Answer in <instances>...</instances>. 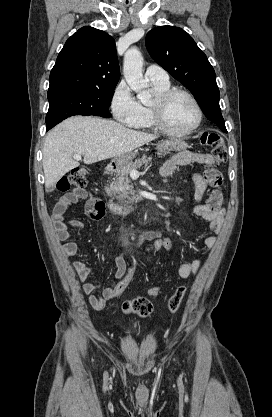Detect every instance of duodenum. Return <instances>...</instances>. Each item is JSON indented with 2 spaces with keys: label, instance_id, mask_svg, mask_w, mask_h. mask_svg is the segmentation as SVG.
Segmentation results:
<instances>
[{
  "label": "duodenum",
  "instance_id": "410a0bca",
  "mask_svg": "<svg viewBox=\"0 0 272 417\" xmlns=\"http://www.w3.org/2000/svg\"><path fill=\"white\" fill-rule=\"evenodd\" d=\"M112 169H113L112 166H109L106 168L107 171H111ZM107 206L110 212L115 215H127L136 211V209L138 208V206L136 205L135 206H121V205L114 203L113 201H108Z\"/></svg>",
  "mask_w": 272,
  "mask_h": 417
}]
</instances>
